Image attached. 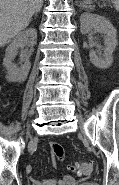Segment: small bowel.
I'll list each match as a JSON object with an SVG mask.
<instances>
[{
    "instance_id": "obj_1",
    "label": "small bowel",
    "mask_w": 119,
    "mask_h": 185,
    "mask_svg": "<svg viewBox=\"0 0 119 185\" xmlns=\"http://www.w3.org/2000/svg\"><path fill=\"white\" fill-rule=\"evenodd\" d=\"M50 147L52 152V162H53V165H56L57 160H60L63 158L64 149L59 143L55 141L50 142ZM26 170L27 172H32L33 168L32 166L29 165L27 166ZM32 182H33V185H71L73 184L74 179L69 175H65L63 177V180L60 182H57L53 179H37V178H33Z\"/></svg>"
}]
</instances>
